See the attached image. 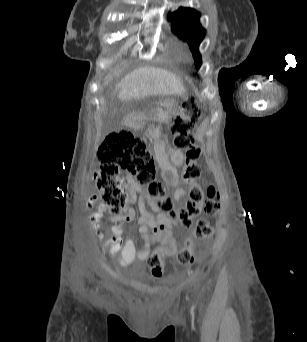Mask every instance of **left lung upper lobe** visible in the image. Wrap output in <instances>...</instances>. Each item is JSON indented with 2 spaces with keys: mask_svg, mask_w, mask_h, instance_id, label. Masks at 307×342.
Wrapping results in <instances>:
<instances>
[{
  "mask_svg": "<svg viewBox=\"0 0 307 342\" xmlns=\"http://www.w3.org/2000/svg\"><path fill=\"white\" fill-rule=\"evenodd\" d=\"M200 13L191 8H179L169 15L168 20L173 22V31L183 40L187 41L194 53L197 69L201 66V55L198 46L205 36V30L198 22Z\"/></svg>",
  "mask_w": 307,
  "mask_h": 342,
  "instance_id": "1",
  "label": "left lung upper lobe"
}]
</instances>
